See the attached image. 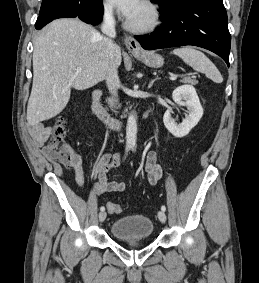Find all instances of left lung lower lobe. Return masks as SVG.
<instances>
[{"instance_id": "left-lung-lower-lobe-1", "label": "left lung lower lobe", "mask_w": 259, "mask_h": 283, "mask_svg": "<svg viewBox=\"0 0 259 283\" xmlns=\"http://www.w3.org/2000/svg\"><path fill=\"white\" fill-rule=\"evenodd\" d=\"M160 14L163 24L157 31L135 36L144 49L194 45L216 53L229 66L231 38L223 0H187Z\"/></svg>"}]
</instances>
